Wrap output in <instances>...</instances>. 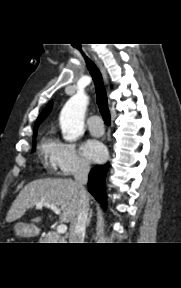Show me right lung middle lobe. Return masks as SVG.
I'll return each instance as SVG.
<instances>
[{
  "label": "right lung middle lobe",
  "instance_id": "obj_1",
  "mask_svg": "<svg viewBox=\"0 0 181 288\" xmlns=\"http://www.w3.org/2000/svg\"><path fill=\"white\" fill-rule=\"evenodd\" d=\"M35 150V143L33 144V149H32V151H34Z\"/></svg>",
  "mask_w": 181,
  "mask_h": 288
}]
</instances>
